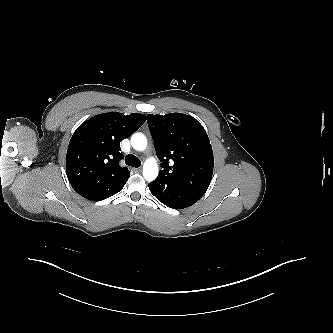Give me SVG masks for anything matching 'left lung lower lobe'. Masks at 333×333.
I'll use <instances>...</instances> for the list:
<instances>
[{
	"mask_svg": "<svg viewBox=\"0 0 333 333\" xmlns=\"http://www.w3.org/2000/svg\"><path fill=\"white\" fill-rule=\"evenodd\" d=\"M151 193L164 205L172 209H184L195 204L203 195L184 192L171 188H160L159 186L148 184Z\"/></svg>",
	"mask_w": 333,
	"mask_h": 333,
	"instance_id": "left-lung-lower-lobe-1",
	"label": "left lung lower lobe"
}]
</instances>
